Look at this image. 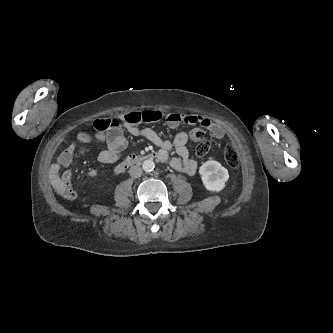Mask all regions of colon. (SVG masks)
Returning <instances> with one entry per match:
<instances>
[{"label":"colon","instance_id":"colon-1","mask_svg":"<svg viewBox=\"0 0 333 333\" xmlns=\"http://www.w3.org/2000/svg\"><path fill=\"white\" fill-rule=\"evenodd\" d=\"M121 126V120L115 118H101L94 121V128L98 132L116 131ZM192 141L197 142L196 155L204 157L210 150L211 134L201 128L193 129L189 133ZM224 160L231 168H237L239 165V157L233 144L226 145L224 149Z\"/></svg>","mask_w":333,"mask_h":333}]
</instances>
